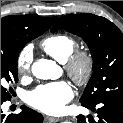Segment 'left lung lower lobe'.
Instances as JSON below:
<instances>
[{
    "mask_svg": "<svg viewBox=\"0 0 123 123\" xmlns=\"http://www.w3.org/2000/svg\"><path fill=\"white\" fill-rule=\"evenodd\" d=\"M82 106L97 113V119L89 116L86 120L83 115L77 116L78 123H123V96L101 99L95 104Z\"/></svg>",
    "mask_w": 123,
    "mask_h": 123,
    "instance_id": "left-lung-lower-lobe-1",
    "label": "left lung lower lobe"
}]
</instances>
